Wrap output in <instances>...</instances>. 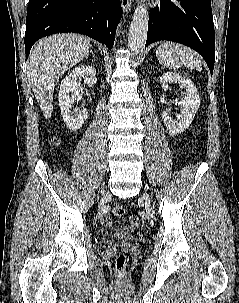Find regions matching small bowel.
I'll return each mask as SVG.
<instances>
[{
    "label": "small bowel",
    "mask_w": 239,
    "mask_h": 303,
    "mask_svg": "<svg viewBox=\"0 0 239 303\" xmlns=\"http://www.w3.org/2000/svg\"><path fill=\"white\" fill-rule=\"evenodd\" d=\"M101 223H102V225H103L107 230H115V229H116V227L113 225V223H112L110 217H108V216H103V217L101 218ZM138 224H139L138 217H136V216H131L126 227H127L128 229H133V228H135L136 226H138Z\"/></svg>",
    "instance_id": "1"
}]
</instances>
